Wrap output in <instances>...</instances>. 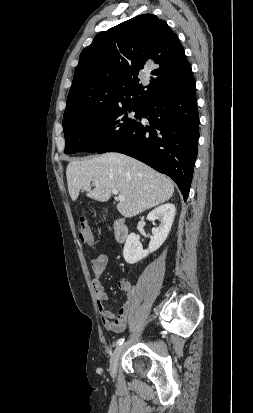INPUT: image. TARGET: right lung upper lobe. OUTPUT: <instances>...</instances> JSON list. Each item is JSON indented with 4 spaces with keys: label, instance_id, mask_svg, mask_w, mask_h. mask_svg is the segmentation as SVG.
Here are the masks:
<instances>
[{
    "label": "right lung upper lobe",
    "instance_id": "right-lung-upper-lobe-1",
    "mask_svg": "<svg viewBox=\"0 0 253 413\" xmlns=\"http://www.w3.org/2000/svg\"><path fill=\"white\" fill-rule=\"evenodd\" d=\"M191 75L184 49L167 23L151 14L136 16L99 33L81 52L63 124L104 110L139 108L181 87Z\"/></svg>",
    "mask_w": 253,
    "mask_h": 413
}]
</instances>
